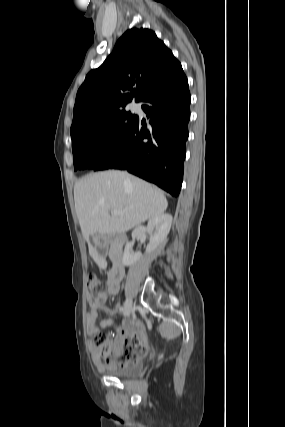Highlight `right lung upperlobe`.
<instances>
[{"label":"right lung upper lobe","instance_id":"cb5924a9","mask_svg":"<svg viewBox=\"0 0 285 427\" xmlns=\"http://www.w3.org/2000/svg\"><path fill=\"white\" fill-rule=\"evenodd\" d=\"M180 67L153 31H126L110 56L87 74L79 88L70 132L121 110L133 98L139 102L149 88ZM129 90L131 94L127 93Z\"/></svg>","mask_w":285,"mask_h":427}]
</instances>
